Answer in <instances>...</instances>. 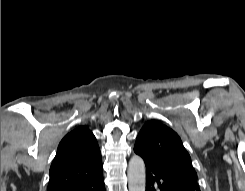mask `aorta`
<instances>
[{
  "label": "aorta",
  "instance_id": "obj_1",
  "mask_svg": "<svg viewBox=\"0 0 245 191\" xmlns=\"http://www.w3.org/2000/svg\"><path fill=\"white\" fill-rule=\"evenodd\" d=\"M127 175L129 191H145V164L141 157L137 155L131 157Z\"/></svg>",
  "mask_w": 245,
  "mask_h": 191
}]
</instances>
